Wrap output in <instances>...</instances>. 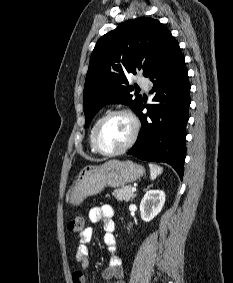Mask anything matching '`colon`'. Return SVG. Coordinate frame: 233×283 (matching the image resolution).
I'll list each match as a JSON object with an SVG mask.
<instances>
[{
  "label": "colon",
  "mask_w": 233,
  "mask_h": 283,
  "mask_svg": "<svg viewBox=\"0 0 233 283\" xmlns=\"http://www.w3.org/2000/svg\"><path fill=\"white\" fill-rule=\"evenodd\" d=\"M85 218L83 215H76L67 225V231L71 234H81L84 230Z\"/></svg>",
  "instance_id": "5ec220e1"
}]
</instances>
